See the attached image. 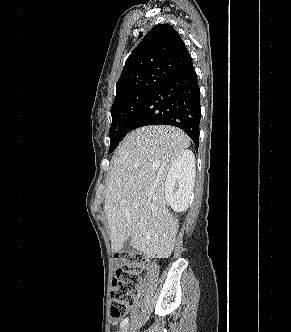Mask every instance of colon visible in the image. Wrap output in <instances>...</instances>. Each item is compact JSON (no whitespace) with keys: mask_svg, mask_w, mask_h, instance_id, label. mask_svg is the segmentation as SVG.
I'll use <instances>...</instances> for the list:
<instances>
[{"mask_svg":"<svg viewBox=\"0 0 291 332\" xmlns=\"http://www.w3.org/2000/svg\"><path fill=\"white\" fill-rule=\"evenodd\" d=\"M118 258L122 264L113 278L110 305V314L115 319L124 316L134 303L145 262L142 255L132 251L122 252Z\"/></svg>","mask_w":291,"mask_h":332,"instance_id":"1","label":"colon"}]
</instances>
